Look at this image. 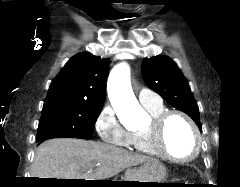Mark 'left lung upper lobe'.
<instances>
[{
    "instance_id": "1",
    "label": "left lung upper lobe",
    "mask_w": 240,
    "mask_h": 187,
    "mask_svg": "<svg viewBox=\"0 0 240 187\" xmlns=\"http://www.w3.org/2000/svg\"><path fill=\"white\" fill-rule=\"evenodd\" d=\"M142 75L148 87L161 95L169 104L188 114L198 125L199 108L190 86L176 63L167 56L144 59Z\"/></svg>"
}]
</instances>
